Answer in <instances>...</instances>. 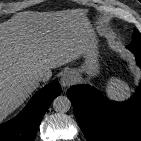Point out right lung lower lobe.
<instances>
[{"label": "right lung lower lobe", "mask_w": 141, "mask_h": 141, "mask_svg": "<svg viewBox=\"0 0 141 141\" xmlns=\"http://www.w3.org/2000/svg\"><path fill=\"white\" fill-rule=\"evenodd\" d=\"M60 93L58 81L36 92L15 118L0 125V141H34L44 114Z\"/></svg>", "instance_id": "1"}]
</instances>
